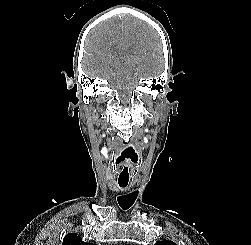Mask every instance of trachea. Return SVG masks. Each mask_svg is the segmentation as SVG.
<instances>
[{"instance_id": "1", "label": "trachea", "mask_w": 251, "mask_h": 245, "mask_svg": "<svg viewBox=\"0 0 251 245\" xmlns=\"http://www.w3.org/2000/svg\"><path fill=\"white\" fill-rule=\"evenodd\" d=\"M119 186L125 188L127 186V183H119Z\"/></svg>"}]
</instances>
